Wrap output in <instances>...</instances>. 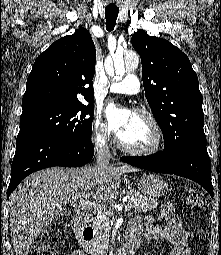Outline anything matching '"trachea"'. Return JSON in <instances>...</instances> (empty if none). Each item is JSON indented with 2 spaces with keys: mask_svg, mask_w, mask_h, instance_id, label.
Segmentation results:
<instances>
[{
  "mask_svg": "<svg viewBox=\"0 0 221 255\" xmlns=\"http://www.w3.org/2000/svg\"><path fill=\"white\" fill-rule=\"evenodd\" d=\"M119 9H105V19H106V29L107 31H112L116 25L117 16Z\"/></svg>",
  "mask_w": 221,
  "mask_h": 255,
  "instance_id": "obj_1",
  "label": "trachea"
}]
</instances>
